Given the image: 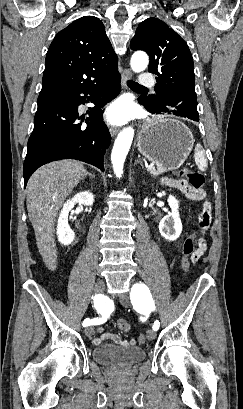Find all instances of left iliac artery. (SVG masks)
<instances>
[{
    "mask_svg": "<svg viewBox=\"0 0 243 409\" xmlns=\"http://www.w3.org/2000/svg\"><path fill=\"white\" fill-rule=\"evenodd\" d=\"M148 291L149 290H148L147 286L144 285V284H135L133 286L130 295H131V301H132L133 306L135 308L139 307V303H141V304L143 303V304H147L149 309L155 310V306H154V302H153L152 298L148 299V298L145 297V295L147 294ZM159 326H160L159 321H155L152 328L155 331H157L159 329Z\"/></svg>",
    "mask_w": 243,
    "mask_h": 409,
    "instance_id": "44dca946",
    "label": "left iliac artery"
}]
</instances>
